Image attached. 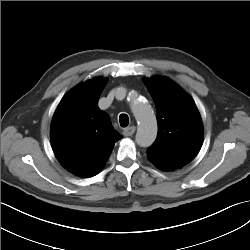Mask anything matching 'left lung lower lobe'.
<instances>
[{
	"mask_svg": "<svg viewBox=\"0 0 250 250\" xmlns=\"http://www.w3.org/2000/svg\"><path fill=\"white\" fill-rule=\"evenodd\" d=\"M147 157L156 167L164 171H171L181 168L190 162V160L168 158L164 156L155 155L150 152H147Z\"/></svg>",
	"mask_w": 250,
	"mask_h": 250,
	"instance_id": "left-lung-lower-lobe-1",
	"label": "left lung lower lobe"
}]
</instances>
